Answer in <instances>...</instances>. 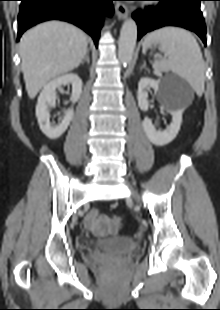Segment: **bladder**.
Listing matches in <instances>:
<instances>
[{
	"label": "bladder",
	"instance_id": "bladder-1",
	"mask_svg": "<svg viewBox=\"0 0 220 310\" xmlns=\"http://www.w3.org/2000/svg\"><path fill=\"white\" fill-rule=\"evenodd\" d=\"M95 247L105 253L119 256L126 255L136 250L137 244L130 238L115 240H102L96 243Z\"/></svg>",
	"mask_w": 220,
	"mask_h": 310
}]
</instances>
